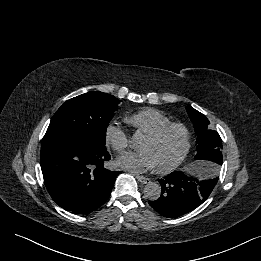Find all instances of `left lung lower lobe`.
Segmentation results:
<instances>
[{
    "mask_svg": "<svg viewBox=\"0 0 261 261\" xmlns=\"http://www.w3.org/2000/svg\"><path fill=\"white\" fill-rule=\"evenodd\" d=\"M197 169L205 172L209 179H197L186 172L176 171L160 179L162 193L150 206L164 217L174 218L189 213L207 200L218 177V169L202 165Z\"/></svg>",
    "mask_w": 261,
    "mask_h": 261,
    "instance_id": "left-lung-lower-lobe-1",
    "label": "left lung lower lobe"
}]
</instances>
